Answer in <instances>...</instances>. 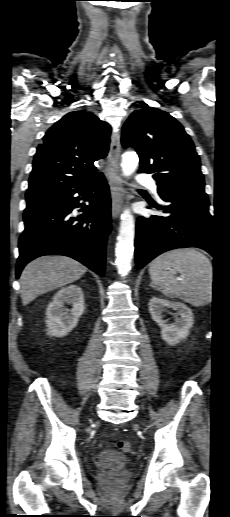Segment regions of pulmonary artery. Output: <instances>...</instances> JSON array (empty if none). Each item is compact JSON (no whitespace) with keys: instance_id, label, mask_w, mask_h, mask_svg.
Wrapping results in <instances>:
<instances>
[{"instance_id":"1","label":"pulmonary artery","mask_w":230,"mask_h":517,"mask_svg":"<svg viewBox=\"0 0 230 517\" xmlns=\"http://www.w3.org/2000/svg\"><path fill=\"white\" fill-rule=\"evenodd\" d=\"M136 179L139 184L147 185L152 193L158 197L156 181L150 175L139 174Z\"/></svg>"}]
</instances>
